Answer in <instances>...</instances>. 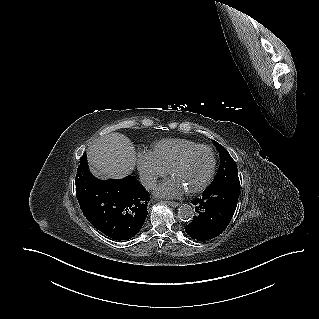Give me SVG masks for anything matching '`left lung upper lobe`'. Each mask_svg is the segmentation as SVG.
<instances>
[{
    "label": "left lung upper lobe",
    "instance_id": "obj_1",
    "mask_svg": "<svg viewBox=\"0 0 319 319\" xmlns=\"http://www.w3.org/2000/svg\"><path fill=\"white\" fill-rule=\"evenodd\" d=\"M220 156V166L216 177L208 188L221 186L231 181L239 180L238 169L235 161L228 151L216 141H213Z\"/></svg>",
    "mask_w": 319,
    "mask_h": 319
}]
</instances>
